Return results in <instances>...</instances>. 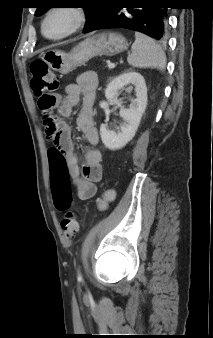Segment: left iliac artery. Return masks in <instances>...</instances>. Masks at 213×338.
I'll use <instances>...</instances> for the list:
<instances>
[{
	"mask_svg": "<svg viewBox=\"0 0 213 338\" xmlns=\"http://www.w3.org/2000/svg\"><path fill=\"white\" fill-rule=\"evenodd\" d=\"M81 279H82L81 273L78 272V280H81Z\"/></svg>",
	"mask_w": 213,
	"mask_h": 338,
	"instance_id": "left-iliac-artery-1",
	"label": "left iliac artery"
}]
</instances>
